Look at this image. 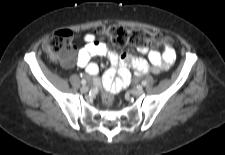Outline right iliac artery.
I'll list each match as a JSON object with an SVG mask.
<instances>
[{
	"mask_svg": "<svg viewBox=\"0 0 225 155\" xmlns=\"http://www.w3.org/2000/svg\"><path fill=\"white\" fill-rule=\"evenodd\" d=\"M81 84H82V85H85V84H86V80L83 79V80L81 81Z\"/></svg>",
	"mask_w": 225,
	"mask_h": 155,
	"instance_id": "1",
	"label": "right iliac artery"
}]
</instances>
